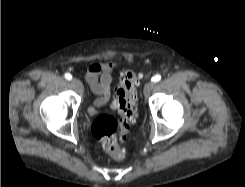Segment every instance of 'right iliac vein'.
Instances as JSON below:
<instances>
[{
  "label": "right iliac vein",
  "mask_w": 245,
  "mask_h": 187,
  "mask_svg": "<svg viewBox=\"0 0 245 187\" xmlns=\"http://www.w3.org/2000/svg\"><path fill=\"white\" fill-rule=\"evenodd\" d=\"M70 83L79 93H83V85L78 79L73 78Z\"/></svg>",
  "instance_id": "63e3f726"
}]
</instances>
